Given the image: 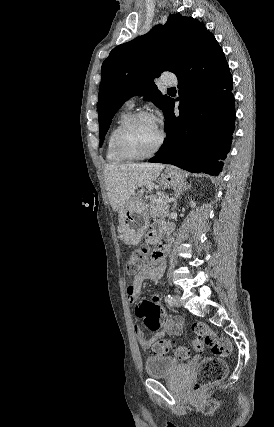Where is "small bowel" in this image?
Wrapping results in <instances>:
<instances>
[{
    "label": "small bowel",
    "mask_w": 274,
    "mask_h": 427,
    "mask_svg": "<svg viewBox=\"0 0 274 427\" xmlns=\"http://www.w3.org/2000/svg\"><path fill=\"white\" fill-rule=\"evenodd\" d=\"M173 231V225L165 222L154 224L149 231V239L159 238L163 234ZM166 269V261L163 259L154 260L150 265L138 274L127 287V302L130 305L135 304L142 291V285L146 280H156L162 277ZM152 299H141L139 311L133 312L135 320V334L140 347L143 350H151L155 343L166 335L179 336L182 334L184 319L181 316L169 317L162 313L165 310L161 299H157L158 291H151ZM139 327H149L151 332H158L154 336L147 338Z\"/></svg>",
    "instance_id": "obj_1"
}]
</instances>
